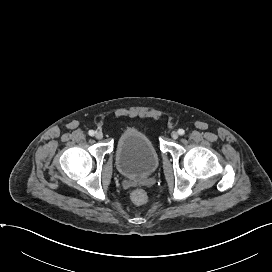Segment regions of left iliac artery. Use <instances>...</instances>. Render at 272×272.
<instances>
[{
    "label": "left iliac artery",
    "instance_id": "1",
    "mask_svg": "<svg viewBox=\"0 0 272 272\" xmlns=\"http://www.w3.org/2000/svg\"><path fill=\"white\" fill-rule=\"evenodd\" d=\"M178 134H179V135H184V134H185V131H184L183 129H179V130H178Z\"/></svg>",
    "mask_w": 272,
    "mask_h": 272
}]
</instances>
